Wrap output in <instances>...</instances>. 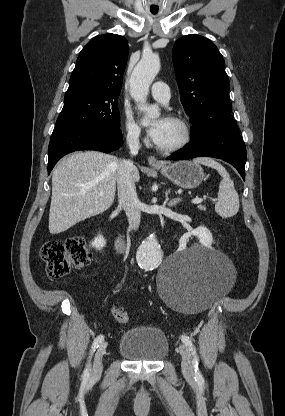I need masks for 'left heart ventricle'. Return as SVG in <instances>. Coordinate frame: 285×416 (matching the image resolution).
Segmentation results:
<instances>
[{
	"mask_svg": "<svg viewBox=\"0 0 285 416\" xmlns=\"http://www.w3.org/2000/svg\"><path fill=\"white\" fill-rule=\"evenodd\" d=\"M179 138H180L179 129L170 120H168L166 134L159 146L161 147L171 146L174 143H176L179 140Z\"/></svg>",
	"mask_w": 285,
	"mask_h": 416,
	"instance_id": "b2bd125f",
	"label": "left heart ventricle"
}]
</instances>
